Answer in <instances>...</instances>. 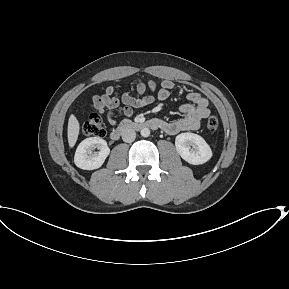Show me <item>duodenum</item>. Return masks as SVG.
Listing matches in <instances>:
<instances>
[{"instance_id": "obj_1", "label": "duodenum", "mask_w": 289, "mask_h": 289, "mask_svg": "<svg viewBox=\"0 0 289 289\" xmlns=\"http://www.w3.org/2000/svg\"><path fill=\"white\" fill-rule=\"evenodd\" d=\"M143 128H150L153 130L159 129L160 122L156 119L148 121L124 120L115 129L112 130L110 137L112 140H118L122 135L131 130H140Z\"/></svg>"}]
</instances>
